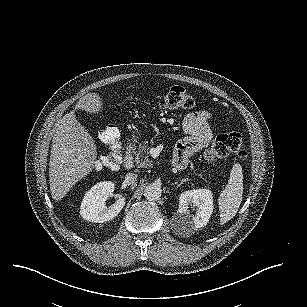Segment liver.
<instances>
[{
    "instance_id": "6515ba94",
    "label": "liver",
    "mask_w": 307,
    "mask_h": 307,
    "mask_svg": "<svg viewBox=\"0 0 307 307\" xmlns=\"http://www.w3.org/2000/svg\"><path fill=\"white\" fill-rule=\"evenodd\" d=\"M99 107L100 99L96 94L85 95L76 105L88 112H96ZM96 153L92 137L73 112L65 114L57 124L50 150L49 184L53 199L63 198L90 172Z\"/></svg>"
}]
</instances>
